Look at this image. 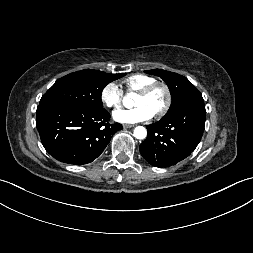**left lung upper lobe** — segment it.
<instances>
[{"instance_id": "1", "label": "left lung upper lobe", "mask_w": 253, "mask_h": 253, "mask_svg": "<svg viewBox=\"0 0 253 253\" xmlns=\"http://www.w3.org/2000/svg\"><path fill=\"white\" fill-rule=\"evenodd\" d=\"M144 72L161 77L169 87L172 103L165 116L172 114L175 110L183 106L189 97L199 92L187 78L180 74L161 69L146 70Z\"/></svg>"}]
</instances>
